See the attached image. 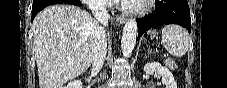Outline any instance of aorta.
<instances>
[{
	"mask_svg": "<svg viewBox=\"0 0 227 88\" xmlns=\"http://www.w3.org/2000/svg\"><path fill=\"white\" fill-rule=\"evenodd\" d=\"M137 38V23L135 19H130L126 22L122 39H121V49L124 57L128 58L131 56Z\"/></svg>",
	"mask_w": 227,
	"mask_h": 88,
	"instance_id": "762f6f07",
	"label": "aorta"
}]
</instances>
